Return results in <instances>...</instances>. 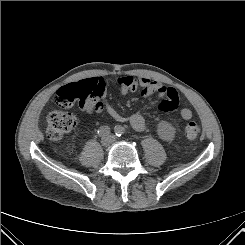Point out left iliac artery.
<instances>
[{"mask_svg":"<svg viewBox=\"0 0 245 245\" xmlns=\"http://www.w3.org/2000/svg\"><path fill=\"white\" fill-rule=\"evenodd\" d=\"M114 131H115L116 136H118V137L125 134V129L122 126H116Z\"/></svg>","mask_w":245,"mask_h":245,"instance_id":"left-iliac-artery-1","label":"left iliac artery"}]
</instances>
